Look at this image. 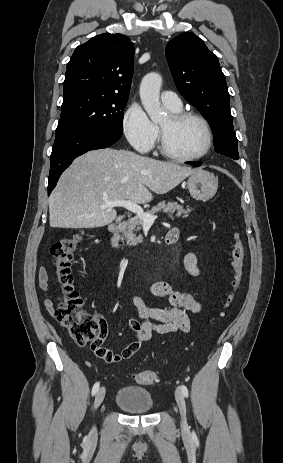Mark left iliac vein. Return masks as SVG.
<instances>
[{"mask_svg":"<svg viewBox=\"0 0 283 463\" xmlns=\"http://www.w3.org/2000/svg\"><path fill=\"white\" fill-rule=\"evenodd\" d=\"M175 399H176V402H177V405L179 407L180 414H181V425L183 428H186L188 426L187 420H186V403H185L184 395L179 388L175 390Z\"/></svg>","mask_w":283,"mask_h":463,"instance_id":"4c4485c4","label":"left iliac vein"}]
</instances>
